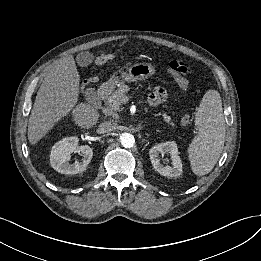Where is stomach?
<instances>
[{
	"instance_id": "0dacf381",
	"label": "stomach",
	"mask_w": 261,
	"mask_h": 261,
	"mask_svg": "<svg viewBox=\"0 0 261 261\" xmlns=\"http://www.w3.org/2000/svg\"><path fill=\"white\" fill-rule=\"evenodd\" d=\"M156 73L153 65L148 63H136L132 65L127 72L120 71L113 77L116 83L124 84L148 79Z\"/></svg>"
}]
</instances>
